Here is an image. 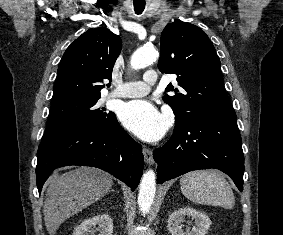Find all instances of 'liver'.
<instances>
[{"label":"liver","instance_id":"6515ba94","mask_svg":"<svg viewBox=\"0 0 283 235\" xmlns=\"http://www.w3.org/2000/svg\"><path fill=\"white\" fill-rule=\"evenodd\" d=\"M113 185V177L97 168L78 167L49 180L43 207L49 235L69 217L98 201Z\"/></svg>","mask_w":283,"mask_h":235}]
</instances>
